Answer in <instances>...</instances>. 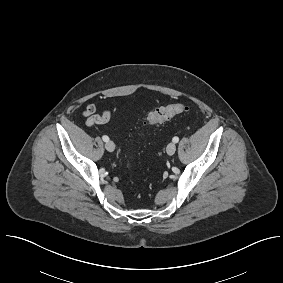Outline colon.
Here are the masks:
<instances>
[{
  "mask_svg": "<svg viewBox=\"0 0 283 283\" xmlns=\"http://www.w3.org/2000/svg\"><path fill=\"white\" fill-rule=\"evenodd\" d=\"M187 109V106L184 104H170L159 107L147 115L146 123L149 125L160 124L180 113L187 111Z\"/></svg>",
  "mask_w": 283,
  "mask_h": 283,
  "instance_id": "1",
  "label": "colon"
}]
</instances>
